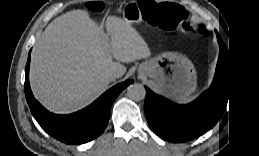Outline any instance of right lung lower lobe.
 Wrapping results in <instances>:
<instances>
[{"mask_svg": "<svg viewBox=\"0 0 259 156\" xmlns=\"http://www.w3.org/2000/svg\"><path fill=\"white\" fill-rule=\"evenodd\" d=\"M29 67L30 53L25 68V96L32 115L44 131L66 144H83L98 137L108 124L112 103L124 88L133 83L132 80H126L117 84L76 113L57 115L35 100L29 84Z\"/></svg>", "mask_w": 259, "mask_h": 156, "instance_id": "98d812e1", "label": "right lung lower lobe"}]
</instances>
